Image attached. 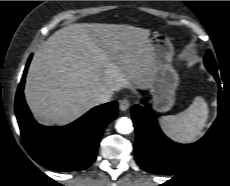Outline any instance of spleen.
I'll return each mask as SVG.
<instances>
[{"mask_svg":"<svg viewBox=\"0 0 230 186\" xmlns=\"http://www.w3.org/2000/svg\"><path fill=\"white\" fill-rule=\"evenodd\" d=\"M208 105L197 96L185 111L159 119L163 131L173 140L189 143L197 140L208 119Z\"/></svg>","mask_w":230,"mask_h":186,"instance_id":"spleen-1","label":"spleen"}]
</instances>
